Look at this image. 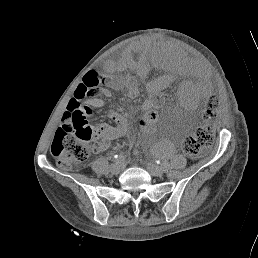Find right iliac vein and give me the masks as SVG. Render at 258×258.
<instances>
[{
  "label": "right iliac vein",
  "instance_id": "1",
  "mask_svg": "<svg viewBox=\"0 0 258 258\" xmlns=\"http://www.w3.org/2000/svg\"><path fill=\"white\" fill-rule=\"evenodd\" d=\"M122 170V164L121 162H116L111 166V172L113 174H119V172Z\"/></svg>",
  "mask_w": 258,
  "mask_h": 258
}]
</instances>
